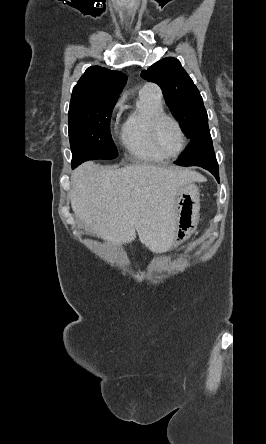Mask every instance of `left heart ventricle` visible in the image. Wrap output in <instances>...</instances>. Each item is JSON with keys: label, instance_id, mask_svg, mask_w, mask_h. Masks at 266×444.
I'll use <instances>...</instances> for the list:
<instances>
[{"label": "left heart ventricle", "instance_id": "1", "mask_svg": "<svg viewBox=\"0 0 266 444\" xmlns=\"http://www.w3.org/2000/svg\"><path fill=\"white\" fill-rule=\"evenodd\" d=\"M157 139L159 146L166 154H175L181 145V138L178 129L170 120H164L160 124Z\"/></svg>", "mask_w": 266, "mask_h": 444}]
</instances>
